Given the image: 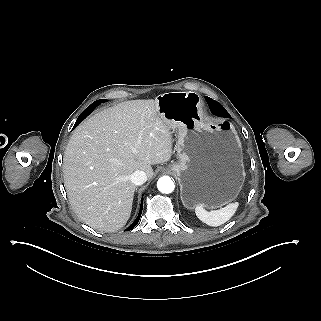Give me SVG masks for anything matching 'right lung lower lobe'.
<instances>
[{"label":"right lung lower lobe","mask_w":321,"mask_h":321,"mask_svg":"<svg viewBox=\"0 0 321 321\" xmlns=\"http://www.w3.org/2000/svg\"><path fill=\"white\" fill-rule=\"evenodd\" d=\"M103 102H106L105 99H100V100H97L95 102H93L90 106H88L81 114L80 116L78 117L75 125L73 128L77 127L100 103H103ZM142 208H143V198L141 199V207H140V211H139V214H138V217L135 219V221L126 229V231L128 230H131L133 229L139 219H140V216H141V213H142Z\"/></svg>","instance_id":"98d812e1"}]
</instances>
